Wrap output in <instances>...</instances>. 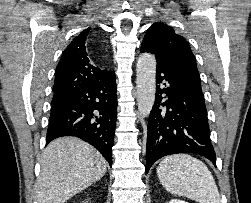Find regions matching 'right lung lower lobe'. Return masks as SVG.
<instances>
[{
	"instance_id": "obj_1",
	"label": "right lung lower lobe",
	"mask_w": 251,
	"mask_h": 203,
	"mask_svg": "<svg viewBox=\"0 0 251 203\" xmlns=\"http://www.w3.org/2000/svg\"><path fill=\"white\" fill-rule=\"evenodd\" d=\"M116 119V77L111 72L51 103L46 145L58 137L76 136L93 145L111 166Z\"/></svg>"
}]
</instances>
